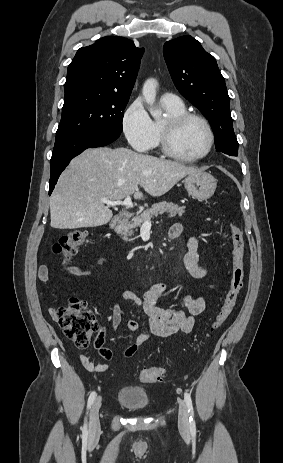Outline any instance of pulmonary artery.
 <instances>
[{
    "mask_svg": "<svg viewBox=\"0 0 283 463\" xmlns=\"http://www.w3.org/2000/svg\"><path fill=\"white\" fill-rule=\"evenodd\" d=\"M161 100L170 104H176L180 101V99L173 93H164L161 96Z\"/></svg>",
    "mask_w": 283,
    "mask_h": 463,
    "instance_id": "1",
    "label": "pulmonary artery"
}]
</instances>
